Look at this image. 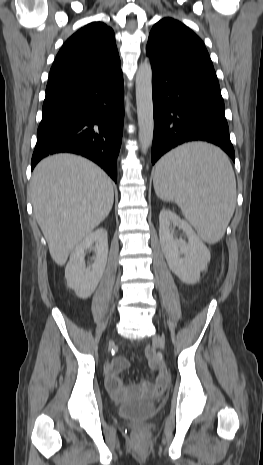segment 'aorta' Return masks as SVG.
<instances>
[{
	"label": "aorta",
	"instance_id": "obj_1",
	"mask_svg": "<svg viewBox=\"0 0 263 465\" xmlns=\"http://www.w3.org/2000/svg\"><path fill=\"white\" fill-rule=\"evenodd\" d=\"M136 105L139 127V143L143 153L149 149L154 132L152 67L145 61L139 65L136 73Z\"/></svg>",
	"mask_w": 263,
	"mask_h": 465
}]
</instances>
